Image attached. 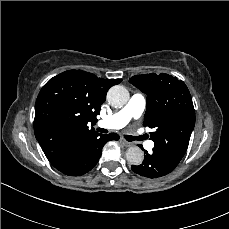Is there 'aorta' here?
<instances>
[{
    "label": "aorta",
    "instance_id": "762f6f07",
    "mask_svg": "<svg viewBox=\"0 0 229 229\" xmlns=\"http://www.w3.org/2000/svg\"><path fill=\"white\" fill-rule=\"evenodd\" d=\"M128 90L121 85L111 87L107 93L108 103L115 108H121L129 100ZM126 159L132 165H140L144 159V152L138 146H131L126 150Z\"/></svg>",
    "mask_w": 229,
    "mask_h": 229
}]
</instances>
